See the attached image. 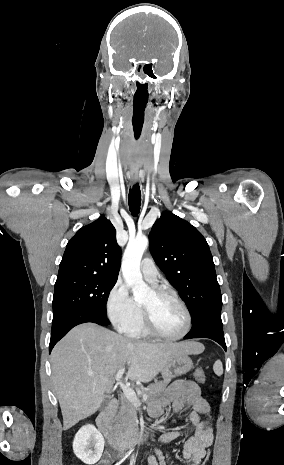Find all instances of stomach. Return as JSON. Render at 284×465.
<instances>
[{
	"mask_svg": "<svg viewBox=\"0 0 284 465\" xmlns=\"http://www.w3.org/2000/svg\"><path fill=\"white\" fill-rule=\"evenodd\" d=\"M193 367L192 359L185 355V353H181V355H176L173 361L165 367L162 371L163 377L165 375H172V377H177V375H185L188 371H191Z\"/></svg>",
	"mask_w": 284,
	"mask_h": 465,
	"instance_id": "stomach-1",
	"label": "stomach"
}]
</instances>
